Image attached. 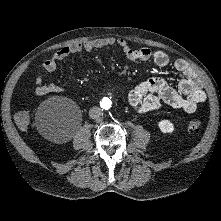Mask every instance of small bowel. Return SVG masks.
I'll return each instance as SVG.
<instances>
[{
  "mask_svg": "<svg viewBox=\"0 0 221 221\" xmlns=\"http://www.w3.org/2000/svg\"><path fill=\"white\" fill-rule=\"evenodd\" d=\"M113 45H117L123 55L133 62L152 60L159 67H165L170 62L169 56L162 50H151L147 47L134 49L124 39L106 37L64 46L51 58L43 62L42 70L45 73H52L56 70L58 62L70 55L82 51L90 52ZM173 66L184 75L177 89L170 86L164 79L154 77L141 82L129 91V102L138 112H150L166 104L175 109H182L186 113H194L198 104L206 100V93L201 81L189 63L183 59H178ZM35 84V93L38 96L63 91V88L57 84L44 83L42 76L36 77ZM21 130L25 131L27 128Z\"/></svg>",
  "mask_w": 221,
  "mask_h": 221,
  "instance_id": "obj_1",
  "label": "small bowel"
}]
</instances>
